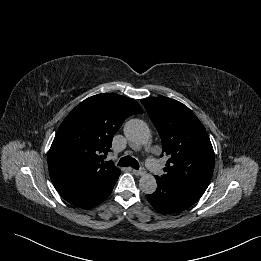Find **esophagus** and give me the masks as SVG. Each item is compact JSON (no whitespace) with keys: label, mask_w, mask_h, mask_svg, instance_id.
Instances as JSON below:
<instances>
[{"label":"esophagus","mask_w":261,"mask_h":261,"mask_svg":"<svg viewBox=\"0 0 261 261\" xmlns=\"http://www.w3.org/2000/svg\"><path fill=\"white\" fill-rule=\"evenodd\" d=\"M132 173H133L135 176H141V175H144V174H145V169H144V168H141L140 170H133Z\"/></svg>","instance_id":"34e87169"}]
</instances>
